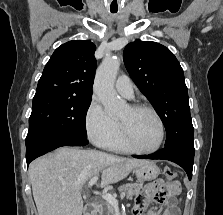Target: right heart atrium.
I'll return each mask as SVG.
<instances>
[{
	"instance_id": "right-heart-atrium-1",
	"label": "right heart atrium",
	"mask_w": 223,
	"mask_h": 215,
	"mask_svg": "<svg viewBox=\"0 0 223 215\" xmlns=\"http://www.w3.org/2000/svg\"><path fill=\"white\" fill-rule=\"evenodd\" d=\"M85 128L92 141L103 145L119 130V123L107 114L97 99L93 98L85 113Z\"/></svg>"
}]
</instances>
